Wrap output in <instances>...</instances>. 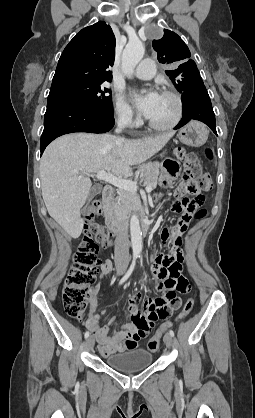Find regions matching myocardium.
<instances>
[{"label":"myocardium","mask_w":255,"mask_h":418,"mask_svg":"<svg viewBox=\"0 0 255 418\" xmlns=\"http://www.w3.org/2000/svg\"><path fill=\"white\" fill-rule=\"evenodd\" d=\"M162 95L168 96L174 100L176 104V112L172 120L168 122L167 124H157L148 119L147 120L148 126L151 129L156 130V131H168V130L173 129L174 127L178 125V123L181 121L182 116H183L184 105H183V100L180 94L174 90L166 89L162 91Z\"/></svg>","instance_id":"f54148a6"}]
</instances>
